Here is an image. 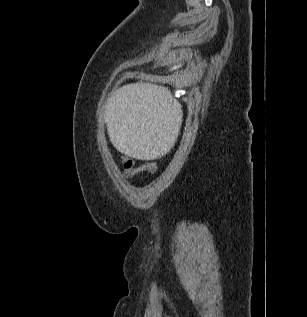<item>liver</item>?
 Masks as SVG:
<instances>
[{"label": "liver", "mask_w": 307, "mask_h": 317, "mask_svg": "<svg viewBox=\"0 0 307 317\" xmlns=\"http://www.w3.org/2000/svg\"><path fill=\"white\" fill-rule=\"evenodd\" d=\"M143 84H136L135 86H142Z\"/></svg>", "instance_id": "6515ba94"}]
</instances>
